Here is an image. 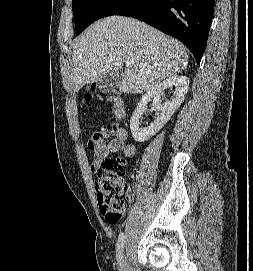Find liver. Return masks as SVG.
<instances>
[{"mask_svg":"<svg viewBox=\"0 0 253 271\" xmlns=\"http://www.w3.org/2000/svg\"><path fill=\"white\" fill-rule=\"evenodd\" d=\"M132 62L122 72L119 90L137 94L186 69L184 46L159 30L129 17L111 16L86 29L73 45L71 87L100 82L119 73L123 63Z\"/></svg>","mask_w":253,"mask_h":271,"instance_id":"1","label":"liver"}]
</instances>
